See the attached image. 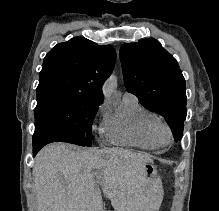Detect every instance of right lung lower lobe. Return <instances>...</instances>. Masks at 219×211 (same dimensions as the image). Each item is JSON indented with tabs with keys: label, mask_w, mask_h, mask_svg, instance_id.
I'll list each match as a JSON object with an SVG mask.
<instances>
[{
	"label": "right lung lower lobe",
	"mask_w": 219,
	"mask_h": 211,
	"mask_svg": "<svg viewBox=\"0 0 219 211\" xmlns=\"http://www.w3.org/2000/svg\"><path fill=\"white\" fill-rule=\"evenodd\" d=\"M52 142L77 143L76 140L57 134H41L39 136H33V156H35L43 146Z\"/></svg>",
	"instance_id": "1"
}]
</instances>
